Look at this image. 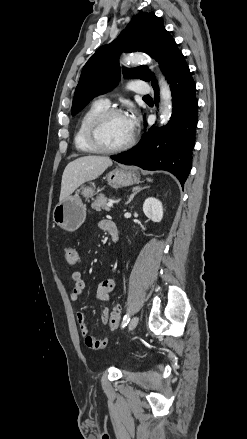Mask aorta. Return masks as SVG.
<instances>
[{"instance_id":"1","label":"aorta","mask_w":247,"mask_h":439,"mask_svg":"<svg viewBox=\"0 0 247 439\" xmlns=\"http://www.w3.org/2000/svg\"><path fill=\"white\" fill-rule=\"evenodd\" d=\"M123 62L125 64H139L141 62L151 63V59L143 54L135 53L126 55L123 58ZM159 86H160V98H161V108H160V120L161 124L165 125L171 117L172 114V96L170 87L167 81L163 78H159Z\"/></svg>"}]
</instances>
